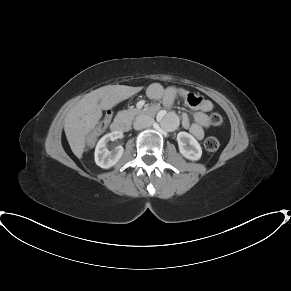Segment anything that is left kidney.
Wrapping results in <instances>:
<instances>
[{"label": "left kidney", "instance_id": "obj_1", "mask_svg": "<svg viewBox=\"0 0 291 291\" xmlns=\"http://www.w3.org/2000/svg\"><path fill=\"white\" fill-rule=\"evenodd\" d=\"M177 142L180 153L186 159L197 161L201 158V146L191 134L187 132H179L177 134Z\"/></svg>", "mask_w": 291, "mask_h": 291}]
</instances>
